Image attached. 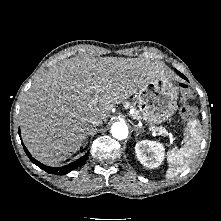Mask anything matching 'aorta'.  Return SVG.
Wrapping results in <instances>:
<instances>
[{
	"label": "aorta",
	"instance_id": "aorta-1",
	"mask_svg": "<svg viewBox=\"0 0 221 221\" xmlns=\"http://www.w3.org/2000/svg\"><path fill=\"white\" fill-rule=\"evenodd\" d=\"M111 134L118 140H123L128 136V127L124 122H116L111 127Z\"/></svg>",
	"mask_w": 221,
	"mask_h": 221
}]
</instances>
